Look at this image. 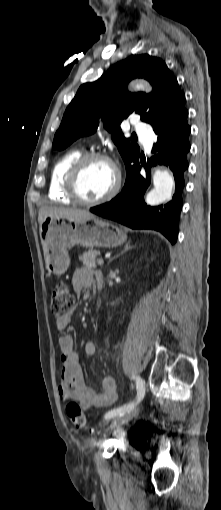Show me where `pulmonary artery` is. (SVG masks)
I'll return each mask as SVG.
<instances>
[{"label": "pulmonary artery", "mask_w": 221, "mask_h": 510, "mask_svg": "<svg viewBox=\"0 0 221 510\" xmlns=\"http://www.w3.org/2000/svg\"><path fill=\"white\" fill-rule=\"evenodd\" d=\"M133 126L138 132V136L146 149H150L153 142V132L146 123L134 120Z\"/></svg>", "instance_id": "obj_1"}]
</instances>
